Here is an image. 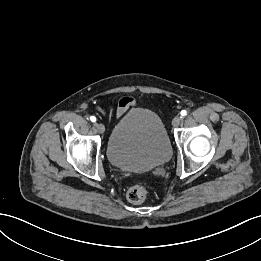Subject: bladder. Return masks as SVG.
I'll use <instances>...</instances> for the list:
<instances>
[{
    "label": "bladder",
    "instance_id": "bladder-1",
    "mask_svg": "<svg viewBox=\"0 0 261 261\" xmlns=\"http://www.w3.org/2000/svg\"><path fill=\"white\" fill-rule=\"evenodd\" d=\"M172 155L171 141L161 118L152 110L133 108L114 126L108 143L110 163L125 171L161 166Z\"/></svg>",
    "mask_w": 261,
    "mask_h": 261
}]
</instances>
